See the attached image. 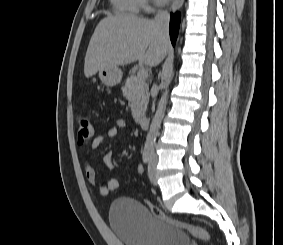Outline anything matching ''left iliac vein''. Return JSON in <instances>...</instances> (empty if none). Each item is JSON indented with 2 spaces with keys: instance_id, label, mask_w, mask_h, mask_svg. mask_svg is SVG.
<instances>
[{
  "instance_id": "obj_1",
  "label": "left iliac vein",
  "mask_w": 283,
  "mask_h": 245,
  "mask_svg": "<svg viewBox=\"0 0 283 245\" xmlns=\"http://www.w3.org/2000/svg\"><path fill=\"white\" fill-rule=\"evenodd\" d=\"M148 176L150 181L156 185L157 184V177H156V157L152 155L149 160L148 165Z\"/></svg>"
}]
</instances>
